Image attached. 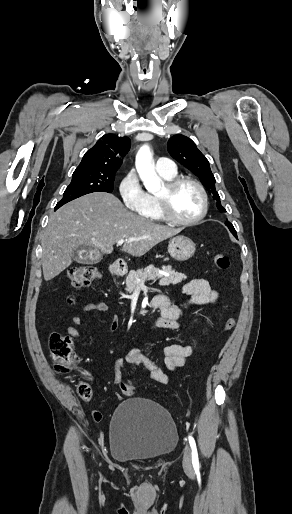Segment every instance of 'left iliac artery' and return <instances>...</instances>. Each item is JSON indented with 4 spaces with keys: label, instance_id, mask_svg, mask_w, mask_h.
Returning a JSON list of instances; mask_svg holds the SVG:
<instances>
[{
    "label": "left iliac artery",
    "instance_id": "44dca946",
    "mask_svg": "<svg viewBox=\"0 0 292 514\" xmlns=\"http://www.w3.org/2000/svg\"><path fill=\"white\" fill-rule=\"evenodd\" d=\"M188 440H189L191 450H192L193 467H194V469H198L199 468V459H198V453H197V447H196L195 440L191 435L188 436Z\"/></svg>",
    "mask_w": 292,
    "mask_h": 514
}]
</instances>
